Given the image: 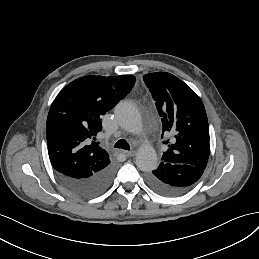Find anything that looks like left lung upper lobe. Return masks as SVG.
<instances>
[{
    "label": "left lung upper lobe",
    "mask_w": 259,
    "mask_h": 259,
    "mask_svg": "<svg viewBox=\"0 0 259 259\" xmlns=\"http://www.w3.org/2000/svg\"><path fill=\"white\" fill-rule=\"evenodd\" d=\"M143 80L156 101L162 131L175 133L172 143L163 142L169 148L162 162L188 164L204 170L210 153V137L206 111L199 96L167 72L146 74Z\"/></svg>",
    "instance_id": "1"
}]
</instances>
